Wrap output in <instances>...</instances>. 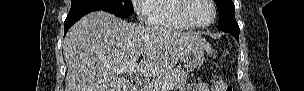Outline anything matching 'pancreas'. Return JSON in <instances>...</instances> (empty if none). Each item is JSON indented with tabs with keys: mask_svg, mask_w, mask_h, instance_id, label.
<instances>
[{
	"mask_svg": "<svg viewBox=\"0 0 304 91\" xmlns=\"http://www.w3.org/2000/svg\"><path fill=\"white\" fill-rule=\"evenodd\" d=\"M188 78V71L175 68L165 72L163 75L157 77L156 80H159L163 83H167L171 88L170 90L176 91L186 84ZM146 91H156L152 86H146Z\"/></svg>",
	"mask_w": 304,
	"mask_h": 91,
	"instance_id": "pancreas-1",
	"label": "pancreas"
}]
</instances>
